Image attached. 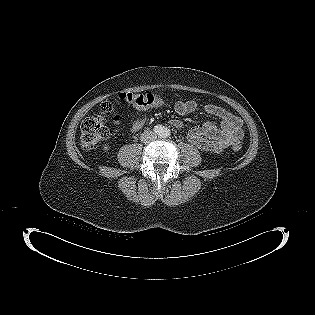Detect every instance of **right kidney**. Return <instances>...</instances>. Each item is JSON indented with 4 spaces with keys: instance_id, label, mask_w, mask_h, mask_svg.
<instances>
[{
    "instance_id": "right-kidney-1",
    "label": "right kidney",
    "mask_w": 315,
    "mask_h": 315,
    "mask_svg": "<svg viewBox=\"0 0 315 315\" xmlns=\"http://www.w3.org/2000/svg\"><path fill=\"white\" fill-rule=\"evenodd\" d=\"M109 150H110V146L108 144L103 146L104 152H108Z\"/></svg>"
}]
</instances>
